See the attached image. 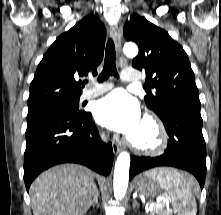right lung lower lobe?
<instances>
[{
  "label": "right lung lower lobe",
  "mask_w": 221,
  "mask_h": 215,
  "mask_svg": "<svg viewBox=\"0 0 221 215\" xmlns=\"http://www.w3.org/2000/svg\"><path fill=\"white\" fill-rule=\"evenodd\" d=\"M24 182L27 191L42 171L61 163H79L108 175L113 164L112 144L101 141L89 112L55 113L27 125Z\"/></svg>",
  "instance_id": "right-lung-lower-lobe-1"
}]
</instances>
